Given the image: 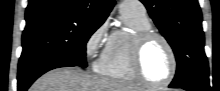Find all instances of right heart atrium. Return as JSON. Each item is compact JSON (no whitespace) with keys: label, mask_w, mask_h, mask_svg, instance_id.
Listing matches in <instances>:
<instances>
[{"label":"right heart atrium","mask_w":220,"mask_h":91,"mask_svg":"<svg viewBox=\"0 0 220 91\" xmlns=\"http://www.w3.org/2000/svg\"><path fill=\"white\" fill-rule=\"evenodd\" d=\"M106 36V25L102 24L98 26L92 33L87 37L85 41V55L89 60L94 59L98 54L101 47L103 46Z\"/></svg>","instance_id":"d8ad5b80"}]
</instances>
